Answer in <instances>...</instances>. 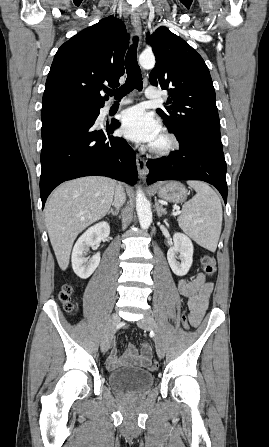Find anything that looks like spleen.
<instances>
[{
  "mask_svg": "<svg viewBox=\"0 0 269 447\" xmlns=\"http://www.w3.org/2000/svg\"><path fill=\"white\" fill-rule=\"evenodd\" d=\"M187 184L197 194L182 206L178 224L196 243L209 251H216L222 225L220 198L204 182H187Z\"/></svg>",
  "mask_w": 269,
  "mask_h": 447,
  "instance_id": "3e777b00",
  "label": "spleen"
}]
</instances>
